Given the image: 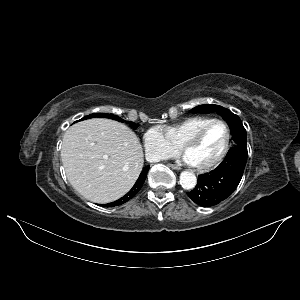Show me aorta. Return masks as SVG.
Returning <instances> with one entry per match:
<instances>
[{
	"label": "aorta",
	"instance_id": "1",
	"mask_svg": "<svg viewBox=\"0 0 300 300\" xmlns=\"http://www.w3.org/2000/svg\"><path fill=\"white\" fill-rule=\"evenodd\" d=\"M197 178L191 171H183L180 175V184L186 190H191L196 186Z\"/></svg>",
	"mask_w": 300,
	"mask_h": 300
}]
</instances>
